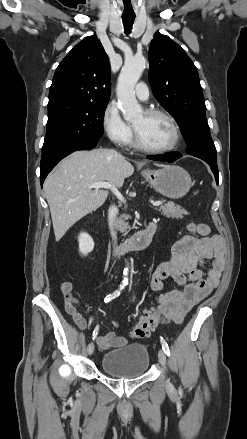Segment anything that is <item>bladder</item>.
Masks as SVG:
<instances>
[{"label":"bladder","mask_w":247,"mask_h":439,"mask_svg":"<svg viewBox=\"0 0 247 439\" xmlns=\"http://www.w3.org/2000/svg\"><path fill=\"white\" fill-rule=\"evenodd\" d=\"M149 363L147 347L134 343L106 352L101 359V368L110 376L131 379L145 374Z\"/></svg>","instance_id":"31cf9c89"}]
</instances>
